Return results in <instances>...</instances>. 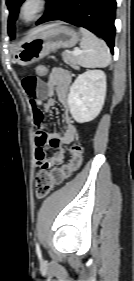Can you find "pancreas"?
<instances>
[{"label":"pancreas","instance_id":"1","mask_svg":"<svg viewBox=\"0 0 134 281\" xmlns=\"http://www.w3.org/2000/svg\"><path fill=\"white\" fill-rule=\"evenodd\" d=\"M63 60L66 64L70 65L73 69L79 70L78 57L73 55L71 52L62 53Z\"/></svg>","mask_w":134,"mask_h":281}]
</instances>
